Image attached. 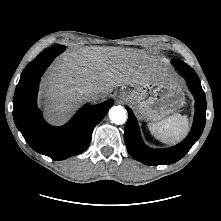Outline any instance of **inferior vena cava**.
I'll return each mask as SVG.
<instances>
[{
	"instance_id": "602c4592",
	"label": "inferior vena cava",
	"mask_w": 221,
	"mask_h": 221,
	"mask_svg": "<svg viewBox=\"0 0 221 221\" xmlns=\"http://www.w3.org/2000/svg\"><path fill=\"white\" fill-rule=\"evenodd\" d=\"M82 95L87 101H95L99 99L100 92L95 88H87L82 92Z\"/></svg>"
}]
</instances>
